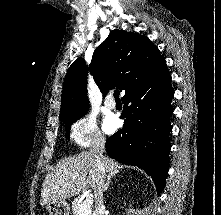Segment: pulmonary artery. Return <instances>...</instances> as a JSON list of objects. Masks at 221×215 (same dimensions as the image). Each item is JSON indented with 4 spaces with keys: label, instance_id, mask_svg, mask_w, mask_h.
I'll use <instances>...</instances> for the list:
<instances>
[{
    "label": "pulmonary artery",
    "instance_id": "pulmonary-artery-1",
    "mask_svg": "<svg viewBox=\"0 0 221 215\" xmlns=\"http://www.w3.org/2000/svg\"><path fill=\"white\" fill-rule=\"evenodd\" d=\"M105 106H106L108 109H114L115 106H116V103H115V101L112 99V97H108V98L105 100Z\"/></svg>",
    "mask_w": 221,
    "mask_h": 215
}]
</instances>
